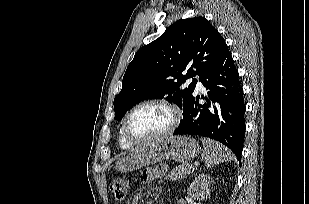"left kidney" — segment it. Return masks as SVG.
<instances>
[{"label":"left kidney","mask_w":309,"mask_h":204,"mask_svg":"<svg viewBox=\"0 0 309 204\" xmlns=\"http://www.w3.org/2000/svg\"><path fill=\"white\" fill-rule=\"evenodd\" d=\"M213 179L209 174H200L191 183L188 189V195L193 199H207L210 195V184Z\"/></svg>","instance_id":"5707ae66"}]
</instances>
